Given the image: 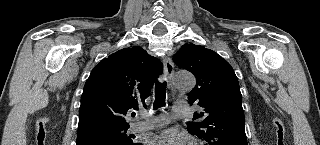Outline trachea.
Masks as SVG:
<instances>
[{
  "mask_svg": "<svg viewBox=\"0 0 320 145\" xmlns=\"http://www.w3.org/2000/svg\"><path fill=\"white\" fill-rule=\"evenodd\" d=\"M166 86H167V83L165 81L160 82V81L156 80V82H155V101H154V108L155 109L166 105V102H165Z\"/></svg>",
  "mask_w": 320,
  "mask_h": 145,
  "instance_id": "obj_1",
  "label": "trachea"
}]
</instances>
